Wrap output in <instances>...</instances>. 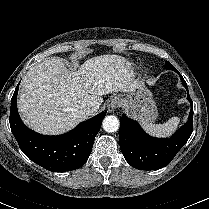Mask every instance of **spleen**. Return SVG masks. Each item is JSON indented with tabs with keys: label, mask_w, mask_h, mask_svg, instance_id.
<instances>
[{
	"label": "spleen",
	"mask_w": 209,
	"mask_h": 209,
	"mask_svg": "<svg viewBox=\"0 0 209 209\" xmlns=\"http://www.w3.org/2000/svg\"><path fill=\"white\" fill-rule=\"evenodd\" d=\"M179 122L180 118L176 116L170 118L164 124H153L141 121V125L148 134L162 138L171 136L176 131Z\"/></svg>",
	"instance_id": "spleen-1"
}]
</instances>
